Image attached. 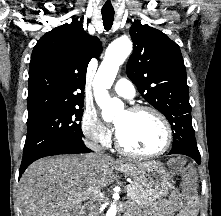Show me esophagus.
<instances>
[{
	"label": "esophagus",
	"instance_id": "esophagus-1",
	"mask_svg": "<svg viewBox=\"0 0 221 216\" xmlns=\"http://www.w3.org/2000/svg\"><path fill=\"white\" fill-rule=\"evenodd\" d=\"M118 164H123L122 161H118Z\"/></svg>",
	"mask_w": 221,
	"mask_h": 216
}]
</instances>
